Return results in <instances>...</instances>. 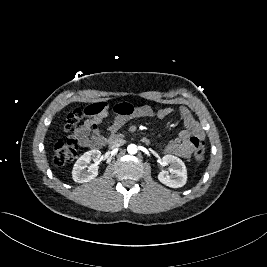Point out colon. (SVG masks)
Instances as JSON below:
<instances>
[{"label": "colon", "instance_id": "1", "mask_svg": "<svg viewBox=\"0 0 267 267\" xmlns=\"http://www.w3.org/2000/svg\"><path fill=\"white\" fill-rule=\"evenodd\" d=\"M93 112L89 107L75 108L69 111L64 116V131L67 133L68 138H59L54 146V160L57 165H65L73 161L78 154L79 145L76 138V130L78 123ZM194 143V158L196 161L201 162L204 159L206 152V145L203 140L195 139Z\"/></svg>", "mask_w": 267, "mask_h": 267}]
</instances>
